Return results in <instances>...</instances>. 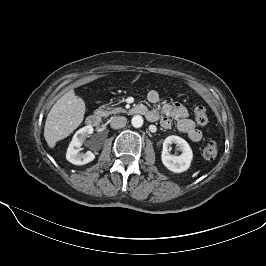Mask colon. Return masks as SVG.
<instances>
[{
  "mask_svg": "<svg viewBox=\"0 0 266 266\" xmlns=\"http://www.w3.org/2000/svg\"><path fill=\"white\" fill-rule=\"evenodd\" d=\"M195 122L200 126H205L209 119L203 107H197L194 112ZM201 154L206 160H213L218 154V145L215 140H208L201 149Z\"/></svg>",
  "mask_w": 266,
  "mask_h": 266,
  "instance_id": "1",
  "label": "colon"
}]
</instances>
